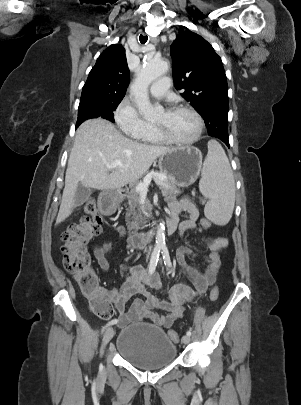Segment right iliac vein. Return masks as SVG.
I'll return each instance as SVG.
<instances>
[{
  "instance_id": "1",
  "label": "right iliac vein",
  "mask_w": 301,
  "mask_h": 405,
  "mask_svg": "<svg viewBox=\"0 0 301 405\" xmlns=\"http://www.w3.org/2000/svg\"><path fill=\"white\" fill-rule=\"evenodd\" d=\"M114 334H115V330H114L113 327H109L106 330V332L104 334V337H103V345L104 346H106L109 343V341L113 338Z\"/></svg>"
}]
</instances>
